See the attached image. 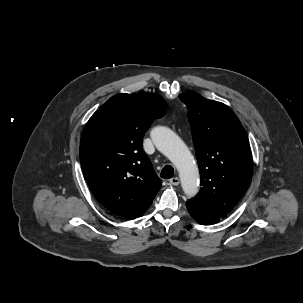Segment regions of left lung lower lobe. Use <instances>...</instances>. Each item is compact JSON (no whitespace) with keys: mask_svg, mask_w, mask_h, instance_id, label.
<instances>
[{"mask_svg":"<svg viewBox=\"0 0 303 303\" xmlns=\"http://www.w3.org/2000/svg\"><path fill=\"white\" fill-rule=\"evenodd\" d=\"M186 207L190 215L199 223L210 225L218 222L221 218L210 211H207L199 206L192 204L190 201L186 202Z\"/></svg>","mask_w":303,"mask_h":303,"instance_id":"1","label":"left lung lower lobe"}]
</instances>
